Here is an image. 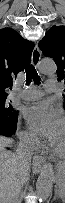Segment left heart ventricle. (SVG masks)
<instances>
[{
  "instance_id": "b2bd125f",
  "label": "left heart ventricle",
  "mask_w": 65,
  "mask_h": 203,
  "mask_svg": "<svg viewBox=\"0 0 65 203\" xmlns=\"http://www.w3.org/2000/svg\"><path fill=\"white\" fill-rule=\"evenodd\" d=\"M51 144L60 152L65 149V127H63L60 134L51 141Z\"/></svg>"
}]
</instances>
